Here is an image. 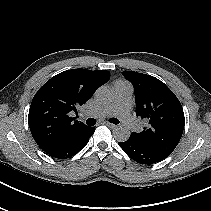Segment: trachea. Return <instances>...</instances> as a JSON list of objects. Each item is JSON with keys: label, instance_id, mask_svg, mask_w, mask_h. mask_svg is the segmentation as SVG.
Listing matches in <instances>:
<instances>
[{"label": "trachea", "instance_id": "3493384b", "mask_svg": "<svg viewBox=\"0 0 211 211\" xmlns=\"http://www.w3.org/2000/svg\"><path fill=\"white\" fill-rule=\"evenodd\" d=\"M109 122H111V123H113V124H119V120L116 119V118H111V119H109ZM86 124L89 125V126H93V125L96 124V120L93 119V118H88V119L86 120Z\"/></svg>", "mask_w": 211, "mask_h": 211}]
</instances>
